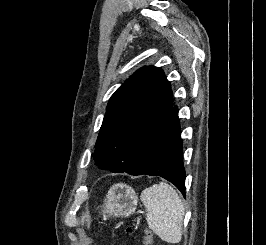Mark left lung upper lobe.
I'll list each match as a JSON object with an SVG mask.
<instances>
[{"instance_id": "obj_1", "label": "left lung upper lobe", "mask_w": 266, "mask_h": 245, "mask_svg": "<svg viewBox=\"0 0 266 245\" xmlns=\"http://www.w3.org/2000/svg\"><path fill=\"white\" fill-rule=\"evenodd\" d=\"M173 105L169 82L158 67H143L130 76L109 100L94 160L101 169L125 172L138 144Z\"/></svg>"}]
</instances>
